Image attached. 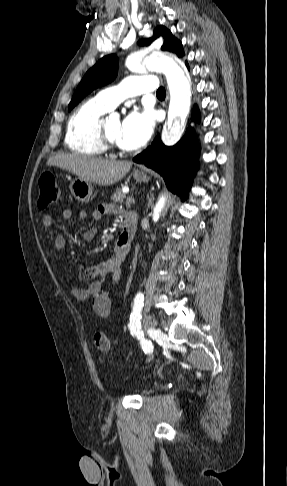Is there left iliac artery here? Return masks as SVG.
Instances as JSON below:
<instances>
[{"label":"left iliac artery","mask_w":287,"mask_h":486,"mask_svg":"<svg viewBox=\"0 0 287 486\" xmlns=\"http://www.w3.org/2000/svg\"><path fill=\"white\" fill-rule=\"evenodd\" d=\"M144 306V295L143 293L139 292L135 296L133 310L130 315V322L128 327L132 335H135L138 340H140L142 349L145 353H152L153 346L150 341L144 338L143 331L141 330V311Z\"/></svg>","instance_id":"left-iliac-artery-1"}]
</instances>
